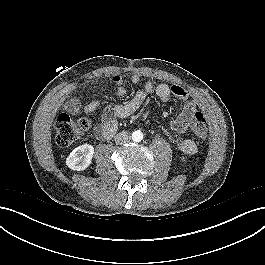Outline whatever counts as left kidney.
<instances>
[{"instance_id":"obj_1","label":"left kidney","mask_w":265,"mask_h":265,"mask_svg":"<svg viewBox=\"0 0 265 265\" xmlns=\"http://www.w3.org/2000/svg\"><path fill=\"white\" fill-rule=\"evenodd\" d=\"M181 160H182L183 162H185V159H184V158H181Z\"/></svg>"}]
</instances>
